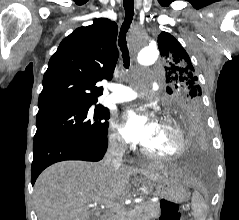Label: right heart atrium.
Instances as JSON below:
<instances>
[{
    "mask_svg": "<svg viewBox=\"0 0 239 220\" xmlns=\"http://www.w3.org/2000/svg\"><path fill=\"white\" fill-rule=\"evenodd\" d=\"M109 144L114 150L118 152H122L125 149V143L120 134L118 133V131L116 130V125L114 123H112L111 125V132L109 134Z\"/></svg>",
    "mask_w": 239,
    "mask_h": 220,
    "instance_id": "right-heart-atrium-1",
    "label": "right heart atrium"
}]
</instances>
